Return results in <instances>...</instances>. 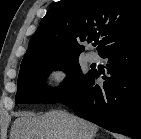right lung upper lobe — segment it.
Returning a JSON list of instances; mask_svg holds the SVG:
<instances>
[{
  "instance_id": "1",
  "label": "right lung upper lobe",
  "mask_w": 141,
  "mask_h": 139,
  "mask_svg": "<svg viewBox=\"0 0 141 139\" xmlns=\"http://www.w3.org/2000/svg\"><path fill=\"white\" fill-rule=\"evenodd\" d=\"M100 41L99 55L141 38V0H61L30 40L21 69L78 58L83 42Z\"/></svg>"
}]
</instances>
